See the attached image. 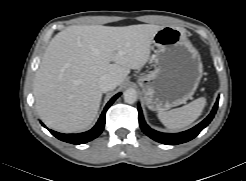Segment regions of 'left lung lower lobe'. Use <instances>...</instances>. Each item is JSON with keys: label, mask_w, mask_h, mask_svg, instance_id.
Returning <instances> with one entry per match:
<instances>
[{"label": "left lung lower lobe", "mask_w": 246, "mask_h": 181, "mask_svg": "<svg viewBox=\"0 0 246 181\" xmlns=\"http://www.w3.org/2000/svg\"><path fill=\"white\" fill-rule=\"evenodd\" d=\"M217 107H218V100L216 101L211 113L202 122H200L195 127L181 133H174V134L161 133L151 129L144 121L140 105H138L139 123L142 131L153 140L166 145L181 144L195 138L211 122L217 111Z\"/></svg>", "instance_id": "obj_1"}]
</instances>
